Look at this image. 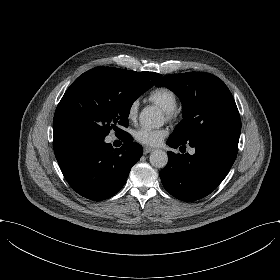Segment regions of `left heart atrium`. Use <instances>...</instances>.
Returning <instances> with one entry per match:
<instances>
[{
	"label": "left heart atrium",
	"instance_id": "obj_1",
	"mask_svg": "<svg viewBox=\"0 0 280 280\" xmlns=\"http://www.w3.org/2000/svg\"><path fill=\"white\" fill-rule=\"evenodd\" d=\"M166 135L164 129H152L141 127L133 132V137L136 142L147 146H156Z\"/></svg>",
	"mask_w": 280,
	"mask_h": 280
}]
</instances>
